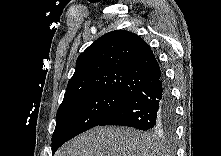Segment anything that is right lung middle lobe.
Listing matches in <instances>:
<instances>
[{"mask_svg":"<svg viewBox=\"0 0 221 156\" xmlns=\"http://www.w3.org/2000/svg\"><path fill=\"white\" fill-rule=\"evenodd\" d=\"M129 96L97 93L62 102L52 135V153L76 135L99 125Z\"/></svg>","mask_w":221,"mask_h":156,"instance_id":"right-lung-middle-lobe-1","label":"right lung middle lobe"}]
</instances>
